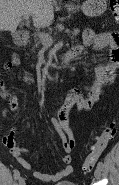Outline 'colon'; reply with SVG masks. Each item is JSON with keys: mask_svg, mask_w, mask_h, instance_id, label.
<instances>
[{"mask_svg": "<svg viewBox=\"0 0 119 185\" xmlns=\"http://www.w3.org/2000/svg\"><path fill=\"white\" fill-rule=\"evenodd\" d=\"M110 10L113 20L119 21V0H110ZM116 134V128L114 123L109 124L100 136L97 137L91 152L86 156L83 163V170L89 172L95 166L97 160L101 157L103 152L108 147L109 143L112 141Z\"/></svg>", "mask_w": 119, "mask_h": 185, "instance_id": "1", "label": "colon"}]
</instances>
